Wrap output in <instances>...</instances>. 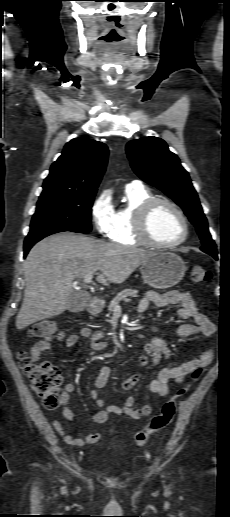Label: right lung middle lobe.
I'll use <instances>...</instances> for the list:
<instances>
[{"instance_id": "dd1d6c3e", "label": "right lung middle lobe", "mask_w": 230, "mask_h": 517, "mask_svg": "<svg viewBox=\"0 0 230 517\" xmlns=\"http://www.w3.org/2000/svg\"><path fill=\"white\" fill-rule=\"evenodd\" d=\"M94 196L95 193H74L40 197L28 236L59 229L91 231Z\"/></svg>"}]
</instances>
